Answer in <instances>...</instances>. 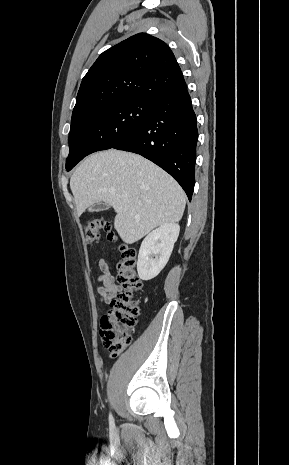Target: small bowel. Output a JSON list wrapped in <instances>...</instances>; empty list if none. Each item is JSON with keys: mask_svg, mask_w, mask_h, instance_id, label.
<instances>
[{"mask_svg": "<svg viewBox=\"0 0 289 465\" xmlns=\"http://www.w3.org/2000/svg\"><path fill=\"white\" fill-rule=\"evenodd\" d=\"M99 272L97 293L101 301L108 304L121 292V287L116 283L112 267L108 261H99Z\"/></svg>", "mask_w": 289, "mask_h": 465, "instance_id": "small-bowel-1", "label": "small bowel"}]
</instances>
